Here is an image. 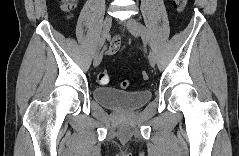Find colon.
<instances>
[{
    "instance_id": "colon-1",
    "label": "colon",
    "mask_w": 239,
    "mask_h": 156,
    "mask_svg": "<svg viewBox=\"0 0 239 156\" xmlns=\"http://www.w3.org/2000/svg\"><path fill=\"white\" fill-rule=\"evenodd\" d=\"M185 5H186V0H176L175 1V6H176V9L178 11L183 10ZM62 8H63V10H65L67 12H70V11H72L75 8V3L73 1H65L62 4ZM141 77H142L143 80H147L148 79V75H147L146 72H142ZM108 81H109L108 71L105 70V69L100 71V73L98 75V82L101 83V84H106V83H108ZM129 86H130V82L129 81L125 80V81L121 82V87L123 89H127Z\"/></svg>"
}]
</instances>
